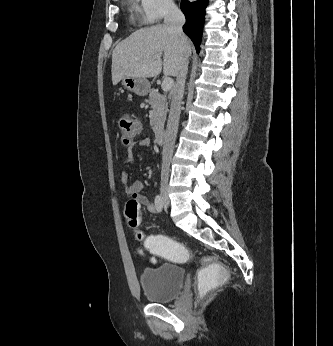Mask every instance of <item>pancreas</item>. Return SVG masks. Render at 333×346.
<instances>
[{"instance_id":"1","label":"pancreas","mask_w":333,"mask_h":346,"mask_svg":"<svg viewBox=\"0 0 333 346\" xmlns=\"http://www.w3.org/2000/svg\"><path fill=\"white\" fill-rule=\"evenodd\" d=\"M149 104L152 111L150 113V125L154 133L163 129L168 111L166 96L159 94L158 90L152 89L149 93Z\"/></svg>"}]
</instances>
